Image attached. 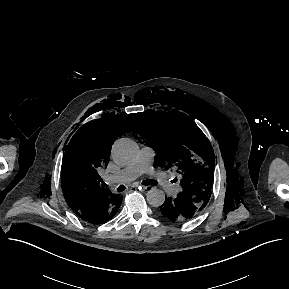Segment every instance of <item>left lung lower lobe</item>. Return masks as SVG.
Instances as JSON below:
<instances>
[{
    "instance_id": "1",
    "label": "left lung lower lobe",
    "mask_w": 289,
    "mask_h": 289,
    "mask_svg": "<svg viewBox=\"0 0 289 289\" xmlns=\"http://www.w3.org/2000/svg\"><path fill=\"white\" fill-rule=\"evenodd\" d=\"M202 210L200 206L180 193L175 198H165V202L160 206L163 217L168 218L172 222L189 221Z\"/></svg>"
}]
</instances>
